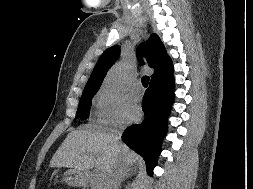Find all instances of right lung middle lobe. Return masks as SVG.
<instances>
[{"mask_svg": "<svg viewBox=\"0 0 253 189\" xmlns=\"http://www.w3.org/2000/svg\"><path fill=\"white\" fill-rule=\"evenodd\" d=\"M97 91L98 89L83 91V94L79 102V107L77 109L76 118H82V119L88 118L89 112H90L91 100Z\"/></svg>", "mask_w": 253, "mask_h": 189, "instance_id": "right-lung-middle-lobe-1", "label": "right lung middle lobe"}]
</instances>
